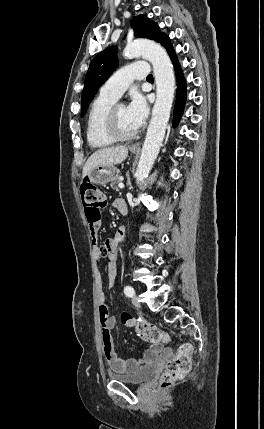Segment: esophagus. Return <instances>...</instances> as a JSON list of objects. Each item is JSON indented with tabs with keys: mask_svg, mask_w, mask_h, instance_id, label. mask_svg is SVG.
<instances>
[{
	"mask_svg": "<svg viewBox=\"0 0 264 429\" xmlns=\"http://www.w3.org/2000/svg\"><path fill=\"white\" fill-rule=\"evenodd\" d=\"M140 146H141V143L137 142V143L131 145V149H140Z\"/></svg>",
	"mask_w": 264,
	"mask_h": 429,
	"instance_id": "esophagus-1",
	"label": "esophagus"
}]
</instances>
